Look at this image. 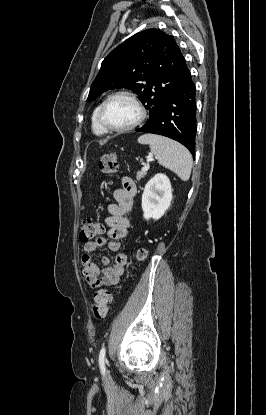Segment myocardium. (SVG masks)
<instances>
[{
    "mask_svg": "<svg viewBox=\"0 0 266 415\" xmlns=\"http://www.w3.org/2000/svg\"><path fill=\"white\" fill-rule=\"evenodd\" d=\"M117 97H125L127 99H129L137 108L138 110V117L136 118V120L131 123L130 125L124 126V127H112L110 126L106 120H105V109L106 106L108 105V103L117 98ZM146 117V109L143 106V104L141 103V101L139 100V98L137 97V95L131 91H127V90H120V91H116L114 93H112L111 95H109L101 104L100 109H99V122L101 124V126L109 132H116V133H122V132H127L130 130L135 129L136 127H138L145 119Z\"/></svg>",
    "mask_w": 266,
    "mask_h": 415,
    "instance_id": "obj_1",
    "label": "myocardium"
}]
</instances>
